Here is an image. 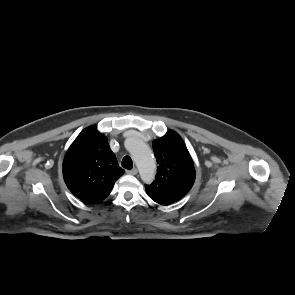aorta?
<instances>
[{
	"label": "aorta",
	"mask_w": 295,
	"mask_h": 295,
	"mask_svg": "<svg viewBox=\"0 0 295 295\" xmlns=\"http://www.w3.org/2000/svg\"><path fill=\"white\" fill-rule=\"evenodd\" d=\"M127 150L137 165L142 181L151 183L154 180L155 164L149 146L138 138H130Z\"/></svg>",
	"instance_id": "obj_1"
}]
</instances>
